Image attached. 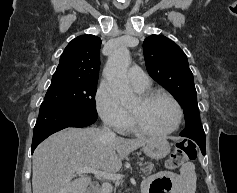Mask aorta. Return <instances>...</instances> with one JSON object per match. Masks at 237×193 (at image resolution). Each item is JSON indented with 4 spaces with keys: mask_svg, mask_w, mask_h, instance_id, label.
I'll return each instance as SVG.
<instances>
[{
    "mask_svg": "<svg viewBox=\"0 0 237 193\" xmlns=\"http://www.w3.org/2000/svg\"><path fill=\"white\" fill-rule=\"evenodd\" d=\"M129 63V50L126 47H120L110 55L104 68V75L111 92L122 104H128L134 99L126 76Z\"/></svg>",
    "mask_w": 237,
    "mask_h": 193,
    "instance_id": "obj_1",
    "label": "aorta"
}]
</instances>
